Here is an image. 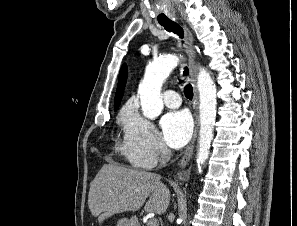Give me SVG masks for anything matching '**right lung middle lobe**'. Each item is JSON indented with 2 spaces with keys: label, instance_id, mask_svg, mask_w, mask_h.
Returning a JSON list of instances; mask_svg holds the SVG:
<instances>
[{
  "label": "right lung middle lobe",
  "instance_id": "dd1d6c3e",
  "mask_svg": "<svg viewBox=\"0 0 297 226\" xmlns=\"http://www.w3.org/2000/svg\"><path fill=\"white\" fill-rule=\"evenodd\" d=\"M118 107H115L114 109L117 110Z\"/></svg>",
  "mask_w": 297,
  "mask_h": 226
}]
</instances>
